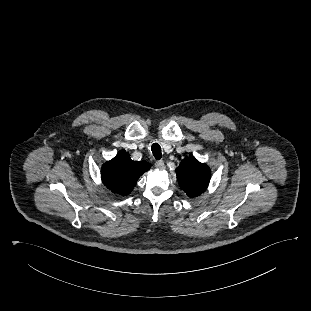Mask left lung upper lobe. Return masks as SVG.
I'll return each instance as SVG.
<instances>
[{"instance_id": "5c2ea615", "label": "left lung upper lobe", "mask_w": 311, "mask_h": 311, "mask_svg": "<svg viewBox=\"0 0 311 311\" xmlns=\"http://www.w3.org/2000/svg\"><path fill=\"white\" fill-rule=\"evenodd\" d=\"M179 186L191 197H197L207 189L211 170L194 157L185 158L176 169Z\"/></svg>"}]
</instances>
